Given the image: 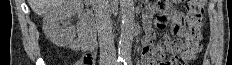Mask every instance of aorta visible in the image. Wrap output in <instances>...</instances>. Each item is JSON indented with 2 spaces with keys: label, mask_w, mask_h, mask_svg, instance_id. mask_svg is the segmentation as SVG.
<instances>
[{
  "label": "aorta",
  "mask_w": 232,
  "mask_h": 65,
  "mask_svg": "<svg viewBox=\"0 0 232 65\" xmlns=\"http://www.w3.org/2000/svg\"><path fill=\"white\" fill-rule=\"evenodd\" d=\"M133 0H120L121 34L119 41V56L127 58L131 56L133 42L134 21Z\"/></svg>",
  "instance_id": "1"
}]
</instances>
